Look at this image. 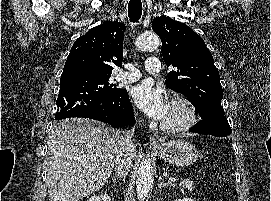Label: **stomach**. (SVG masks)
<instances>
[{"mask_svg":"<svg viewBox=\"0 0 271 201\" xmlns=\"http://www.w3.org/2000/svg\"><path fill=\"white\" fill-rule=\"evenodd\" d=\"M153 149L165 162L178 167L189 166L199 158L197 149L185 140L169 141Z\"/></svg>","mask_w":271,"mask_h":201,"instance_id":"1","label":"stomach"}]
</instances>
